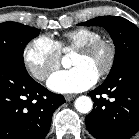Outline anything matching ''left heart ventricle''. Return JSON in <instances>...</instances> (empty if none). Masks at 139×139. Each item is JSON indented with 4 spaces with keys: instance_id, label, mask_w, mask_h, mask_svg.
I'll list each match as a JSON object with an SVG mask.
<instances>
[{
    "instance_id": "1",
    "label": "left heart ventricle",
    "mask_w": 139,
    "mask_h": 139,
    "mask_svg": "<svg viewBox=\"0 0 139 139\" xmlns=\"http://www.w3.org/2000/svg\"><path fill=\"white\" fill-rule=\"evenodd\" d=\"M106 50L99 49L92 54H83L81 52H76L72 58L71 64L75 66H85L93 70L95 73H99L101 68L106 62Z\"/></svg>"
}]
</instances>
